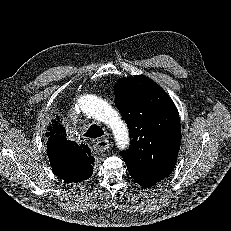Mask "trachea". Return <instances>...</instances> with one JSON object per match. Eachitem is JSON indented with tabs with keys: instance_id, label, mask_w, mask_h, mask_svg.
I'll return each instance as SVG.
<instances>
[{
	"instance_id": "obj_1",
	"label": "trachea",
	"mask_w": 231,
	"mask_h": 231,
	"mask_svg": "<svg viewBox=\"0 0 231 231\" xmlns=\"http://www.w3.org/2000/svg\"><path fill=\"white\" fill-rule=\"evenodd\" d=\"M104 135V131L102 130L101 127H99L96 124H93L92 126L89 127V129L86 131L84 136L89 137V138H99Z\"/></svg>"
}]
</instances>
